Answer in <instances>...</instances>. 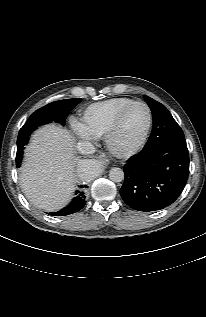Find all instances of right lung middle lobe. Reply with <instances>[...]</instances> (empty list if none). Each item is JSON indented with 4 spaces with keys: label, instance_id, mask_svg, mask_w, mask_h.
I'll use <instances>...</instances> for the list:
<instances>
[{
    "label": "right lung middle lobe",
    "instance_id": "1",
    "mask_svg": "<svg viewBox=\"0 0 206 317\" xmlns=\"http://www.w3.org/2000/svg\"><path fill=\"white\" fill-rule=\"evenodd\" d=\"M80 102L81 98L55 101L36 110L30 116L18 134L16 155L17 167L21 164L23 149L29 140L30 133L38 126L52 121L64 124L69 112Z\"/></svg>",
    "mask_w": 206,
    "mask_h": 317
}]
</instances>
